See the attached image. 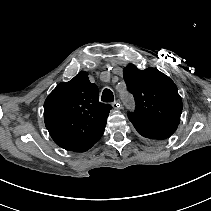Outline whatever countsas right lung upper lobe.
Segmentation results:
<instances>
[{
	"mask_svg": "<svg viewBox=\"0 0 211 211\" xmlns=\"http://www.w3.org/2000/svg\"><path fill=\"white\" fill-rule=\"evenodd\" d=\"M110 104L99 102V91L80 72L71 81L60 83L44 103V121L54 142L67 151L91 148L103 135Z\"/></svg>",
	"mask_w": 211,
	"mask_h": 211,
	"instance_id": "1",
	"label": "right lung upper lobe"
}]
</instances>
